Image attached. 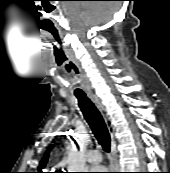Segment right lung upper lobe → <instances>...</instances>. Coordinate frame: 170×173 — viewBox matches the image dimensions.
<instances>
[{
  "label": "right lung upper lobe",
  "instance_id": "1",
  "mask_svg": "<svg viewBox=\"0 0 170 173\" xmlns=\"http://www.w3.org/2000/svg\"><path fill=\"white\" fill-rule=\"evenodd\" d=\"M48 155H49V151H47L44 155V157L42 158L40 164H39V167H38V170L39 172L38 173H43L42 170L44 169L46 163H47V160H48Z\"/></svg>",
  "mask_w": 170,
  "mask_h": 173
}]
</instances>
